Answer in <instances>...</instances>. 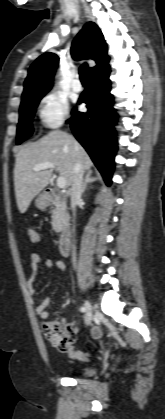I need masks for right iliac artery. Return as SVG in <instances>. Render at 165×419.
I'll return each mask as SVG.
<instances>
[{
    "label": "right iliac artery",
    "instance_id": "obj_1",
    "mask_svg": "<svg viewBox=\"0 0 165 419\" xmlns=\"http://www.w3.org/2000/svg\"><path fill=\"white\" fill-rule=\"evenodd\" d=\"M80 311L84 313L86 311L85 307H80Z\"/></svg>",
    "mask_w": 165,
    "mask_h": 419
}]
</instances>
